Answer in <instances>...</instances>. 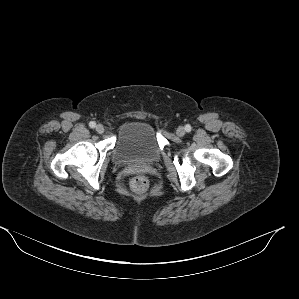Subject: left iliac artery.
Segmentation results:
<instances>
[{
  "instance_id": "44dca946",
  "label": "left iliac artery",
  "mask_w": 299,
  "mask_h": 299,
  "mask_svg": "<svg viewBox=\"0 0 299 299\" xmlns=\"http://www.w3.org/2000/svg\"><path fill=\"white\" fill-rule=\"evenodd\" d=\"M191 130L190 126H186V131L189 132Z\"/></svg>"
}]
</instances>
